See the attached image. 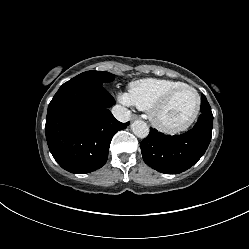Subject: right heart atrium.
Segmentation results:
<instances>
[{
    "mask_svg": "<svg viewBox=\"0 0 249 249\" xmlns=\"http://www.w3.org/2000/svg\"><path fill=\"white\" fill-rule=\"evenodd\" d=\"M118 96H119L120 101L123 102L124 104H127V105L132 104L128 94L119 93Z\"/></svg>",
    "mask_w": 249,
    "mask_h": 249,
    "instance_id": "d8ad5b80",
    "label": "right heart atrium"
}]
</instances>
